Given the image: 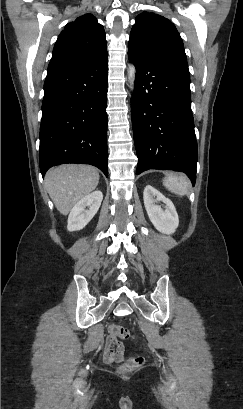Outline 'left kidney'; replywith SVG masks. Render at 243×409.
Segmentation results:
<instances>
[{"mask_svg": "<svg viewBox=\"0 0 243 409\" xmlns=\"http://www.w3.org/2000/svg\"><path fill=\"white\" fill-rule=\"evenodd\" d=\"M143 199L148 217L154 227L161 233L173 234L179 225V219L172 201L151 185L145 187ZM158 201L165 204V209L157 204Z\"/></svg>", "mask_w": 243, "mask_h": 409, "instance_id": "left-kidney-1", "label": "left kidney"}]
</instances>
